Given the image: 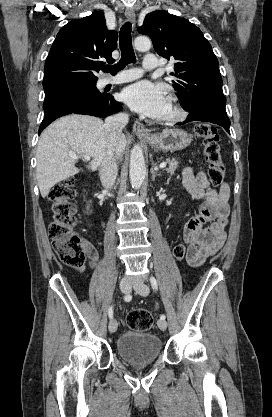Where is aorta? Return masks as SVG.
Masks as SVG:
<instances>
[{"instance_id": "aorta-1", "label": "aorta", "mask_w": 272, "mask_h": 417, "mask_svg": "<svg viewBox=\"0 0 272 417\" xmlns=\"http://www.w3.org/2000/svg\"><path fill=\"white\" fill-rule=\"evenodd\" d=\"M134 46L138 51H147L151 48V40L146 36H138L134 41ZM146 167L142 148L134 145L130 155L129 177L133 188L139 189L145 179Z\"/></svg>"}]
</instances>
